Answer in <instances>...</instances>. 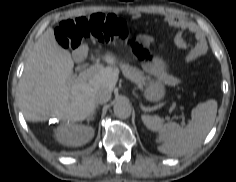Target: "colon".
I'll use <instances>...</instances> for the list:
<instances>
[{"instance_id":"colon-1","label":"colon","mask_w":236,"mask_h":182,"mask_svg":"<svg viewBox=\"0 0 236 182\" xmlns=\"http://www.w3.org/2000/svg\"><path fill=\"white\" fill-rule=\"evenodd\" d=\"M126 36V25L121 19L101 13L62 21L56 29L58 43L72 49L79 47L86 38L111 42Z\"/></svg>"}]
</instances>
